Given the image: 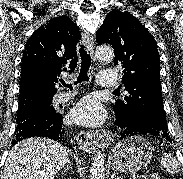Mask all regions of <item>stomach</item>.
<instances>
[{
    "label": "stomach",
    "mask_w": 183,
    "mask_h": 179,
    "mask_svg": "<svg viewBox=\"0 0 183 179\" xmlns=\"http://www.w3.org/2000/svg\"><path fill=\"white\" fill-rule=\"evenodd\" d=\"M153 148L139 135L127 137L115 145L110 153L114 169L135 172L145 168L152 159Z\"/></svg>",
    "instance_id": "1"
}]
</instances>
